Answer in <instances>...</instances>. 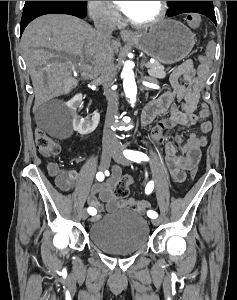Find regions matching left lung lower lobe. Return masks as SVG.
Returning <instances> with one entry per match:
<instances>
[{
    "label": "left lung lower lobe",
    "instance_id": "0a47b994",
    "mask_svg": "<svg viewBox=\"0 0 237 300\" xmlns=\"http://www.w3.org/2000/svg\"><path fill=\"white\" fill-rule=\"evenodd\" d=\"M193 12L207 16L217 25L214 9H197Z\"/></svg>",
    "mask_w": 237,
    "mask_h": 300
}]
</instances>
